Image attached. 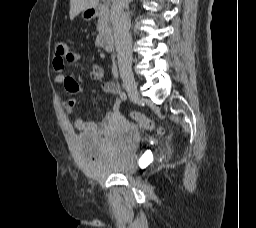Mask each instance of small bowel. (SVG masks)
<instances>
[{
  "label": "small bowel",
  "instance_id": "c3829d8e",
  "mask_svg": "<svg viewBox=\"0 0 256 228\" xmlns=\"http://www.w3.org/2000/svg\"><path fill=\"white\" fill-rule=\"evenodd\" d=\"M85 59L77 52L70 50L65 62L59 63L53 59V67L57 71L55 81L62 84L65 90L70 94H77L81 91L80 85L70 75L65 73V63L79 64ZM104 71L101 66L92 64L90 69V78L98 81L103 77ZM103 91L115 97L112 109L105 115L100 122L85 121L82 117H77L74 121V127L82 132L106 133L124 126L127 123L120 107V100L117 97L118 86L114 82H107L103 85ZM75 105L74 99L70 98L64 103V107L71 111Z\"/></svg>",
  "mask_w": 256,
  "mask_h": 228
}]
</instances>
